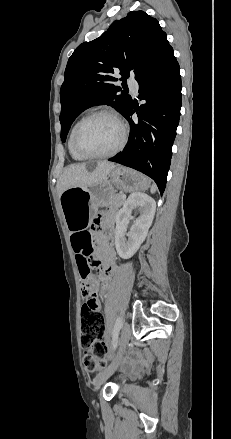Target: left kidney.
Masks as SVG:
<instances>
[{
  "label": "left kidney",
  "mask_w": 231,
  "mask_h": 439,
  "mask_svg": "<svg viewBox=\"0 0 231 439\" xmlns=\"http://www.w3.org/2000/svg\"><path fill=\"white\" fill-rule=\"evenodd\" d=\"M139 208L140 216L126 233L132 211ZM156 210L153 198L145 193H132L116 215L115 245L118 255L131 258L145 240ZM128 237V240L126 239Z\"/></svg>",
  "instance_id": "5707ae66"
}]
</instances>
